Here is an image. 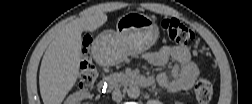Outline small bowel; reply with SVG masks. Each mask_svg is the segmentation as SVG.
<instances>
[{"label":"small bowel","instance_id":"1","mask_svg":"<svg viewBox=\"0 0 252 104\" xmlns=\"http://www.w3.org/2000/svg\"><path fill=\"white\" fill-rule=\"evenodd\" d=\"M143 58L154 66H165L171 59L174 61L168 70L161 71L156 77L158 83L168 92L191 88L199 75V69L184 45H166L144 54Z\"/></svg>","mask_w":252,"mask_h":104}]
</instances>
